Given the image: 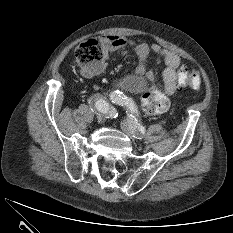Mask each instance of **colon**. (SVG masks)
<instances>
[{"label":"colon","instance_id":"colon-1","mask_svg":"<svg viewBox=\"0 0 233 233\" xmlns=\"http://www.w3.org/2000/svg\"><path fill=\"white\" fill-rule=\"evenodd\" d=\"M76 59L84 71H91L100 67L104 61L101 43L96 39H89L81 43L76 50ZM178 86L180 88L200 89L201 78L199 73L181 68L178 72ZM141 108L147 115L160 114L169 108V99L159 91L148 92L142 96Z\"/></svg>","mask_w":233,"mask_h":233}]
</instances>
